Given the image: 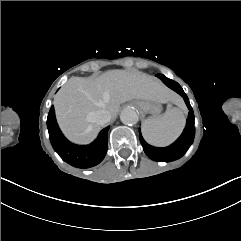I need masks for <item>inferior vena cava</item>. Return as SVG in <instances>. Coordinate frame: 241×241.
Listing matches in <instances>:
<instances>
[{"mask_svg": "<svg viewBox=\"0 0 241 241\" xmlns=\"http://www.w3.org/2000/svg\"><path fill=\"white\" fill-rule=\"evenodd\" d=\"M86 120L89 123H96L98 125H104L111 120V114L109 111L100 109L96 112H90L86 116Z\"/></svg>", "mask_w": 241, "mask_h": 241, "instance_id": "inferior-vena-cava-1", "label": "inferior vena cava"}]
</instances>
